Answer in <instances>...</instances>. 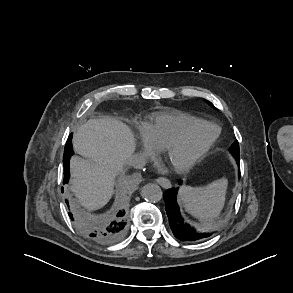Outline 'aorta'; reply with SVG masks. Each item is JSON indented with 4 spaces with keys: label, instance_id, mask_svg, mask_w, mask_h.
<instances>
[{
    "label": "aorta",
    "instance_id": "aorta-1",
    "mask_svg": "<svg viewBox=\"0 0 293 293\" xmlns=\"http://www.w3.org/2000/svg\"><path fill=\"white\" fill-rule=\"evenodd\" d=\"M141 195L146 201L155 203L161 200L163 193L157 184L148 183L143 186Z\"/></svg>",
    "mask_w": 293,
    "mask_h": 293
}]
</instances>
